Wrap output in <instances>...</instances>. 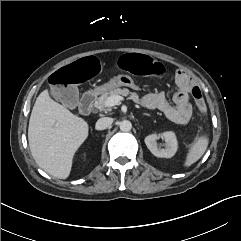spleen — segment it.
I'll return each mask as SVG.
<instances>
[{
	"label": "spleen",
	"mask_w": 241,
	"mask_h": 241,
	"mask_svg": "<svg viewBox=\"0 0 241 241\" xmlns=\"http://www.w3.org/2000/svg\"><path fill=\"white\" fill-rule=\"evenodd\" d=\"M209 144V138L206 135L196 137L194 142L190 145L186 155L184 167H189L197 162L205 153Z\"/></svg>",
	"instance_id": "1"
}]
</instances>
